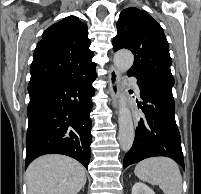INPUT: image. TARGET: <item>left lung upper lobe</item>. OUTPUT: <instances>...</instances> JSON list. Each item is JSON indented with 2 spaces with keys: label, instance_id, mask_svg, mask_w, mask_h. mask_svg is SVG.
<instances>
[{
  "label": "left lung upper lobe",
  "instance_id": "left-lung-upper-lobe-1",
  "mask_svg": "<svg viewBox=\"0 0 201 194\" xmlns=\"http://www.w3.org/2000/svg\"><path fill=\"white\" fill-rule=\"evenodd\" d=\"M122 48L134 54V63L128 75L144 83H161L173 87L169 44L162 27L146 11L129 7L121 12L113 50Z\"/></svg>",
  "mask_w": 201,
  "mask_h": 194
}]
</instances>
